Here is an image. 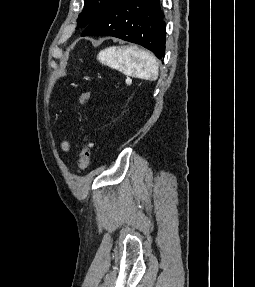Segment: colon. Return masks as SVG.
I'll return each instance as SVG.
<instances>
[{
  "label": "colon",
  "mask_w": 255,
  "mask_h": 287,
  "mask_svg": "<svg viewBox=\"0 0 255 287\" xmlns=\"http://www.w3.org/2000/svg\"><path fill=\"white\" fill-rule=\"evenodd\" d=\"M90 98V92L85 91L81 93L79 101L82 105H85ZM91 162V144L85 139L82 143L80 152H79V168L81 171H86Z\"/></svg>",
  "instance_id": "1"
}]
</instances>
